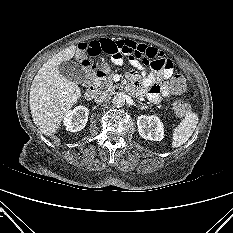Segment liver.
<instances>
[{
  "label": "liver",
  "instance_id": "6515ba94",
  "mask_svg": "<svg viewBox=\"0 0 233 233\" xmlns=\"http://www.w3.org/2000/svg\"><path fill=\"white\" fill-rule=\"evenodd\" d=\"M77 52L74 45L58 52L39 69L32 82L29 96L32 118L46 136L56 133L81 97L79 86L58 71V65L73 58Z\"/></svg>",
  "mask_w": 233,
  "mask_h": 233
}]
</instances>
